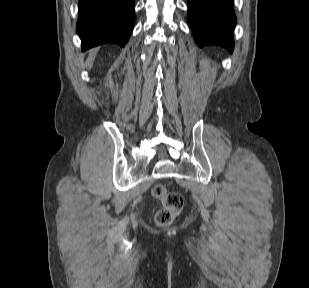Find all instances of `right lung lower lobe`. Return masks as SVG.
<instances>
[{
  "mask_svg": "<svg viewBox=\"0 0 309 288\" xmlns=\"http://www.w3.org/2000/svg\"><path fill=\"white\" fill-rule=\"evenodd\" d=\"M133 23L134 0H79L77 33L83 51L108 42L124 47Z\"/></svg>",
  "mask_w": 309,
  "mask_h": 288,
  "instance_id": "1",
  "label": "right lung lower lobe"
}]
</instances>
